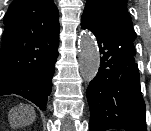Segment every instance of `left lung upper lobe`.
Instances as JSON below:
<instances>
[{"label": "left lung upper lobe", "instance_id": "1", "mask_svg": "<svg viewBox=\"0 0 151 131\" xmlns=\"http://www.w3.org/2000/svg\"><path fill=\"white\" fill-rule=\"evenodd\" d=\"M126 3V0H87L82 18L89 17L123 31V36L127 39L126 47L134 55L133 41L136 34Z\"/></svg>", "mask_w": 151, "mask_h": 131}]
</instances>
